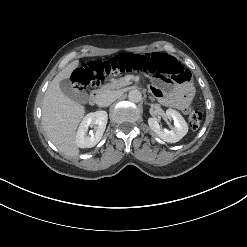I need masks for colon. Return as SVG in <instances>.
Listing matches in <instances>:
<instances>
[{
    "label": "colon",
    "instance_id": "1",
    "mask_svg": "<svg viewBox=\"0 0 247 247\" xmlns=\"http://www.w3.org/2000/svg\"><path fill=\"white\" fill-rule=\"evenodd\" d=\"M130 71L170 78L179 84H191L188 70L174 57L165 53L123 54L107 61L82 63L74 70L72 83L76 90H86L98 86L106 76ZM187 116L190 127L197 129L202 113L192 108Z\"/></svg>",
    "mask_w": 247,
    "mask_h": 247
}]
</instances>
